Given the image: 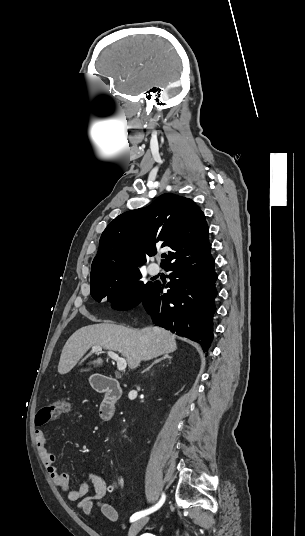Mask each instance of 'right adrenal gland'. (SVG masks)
<instances>
[{"label": "right adrenal gland", "instance_id": "2a0ac1e0", "mask_svg": "<svg viewBox=\"0 0 305 536\" xmlns=\"http://www.w3.org/2000/svg\"><path fill=\"white\" fill-rule=\"evenodd\" d=\"M161 360H171V356H163V358H159V360H155V362H153V364H151V366H149V368H146V370H144V372H148V370H150V368H152V366H154V364H158V362H161ZM143 374V372H142Z\"/></svg>", "mask_w": 305, "mask_h": 536}]
</instances>
